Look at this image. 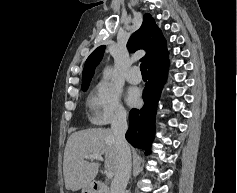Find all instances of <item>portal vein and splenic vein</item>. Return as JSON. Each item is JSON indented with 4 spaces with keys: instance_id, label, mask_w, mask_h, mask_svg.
Segmentation results:
<instances>
[{
    "instance_id": "obj_1",
    "label": "portal vein and splenic vein",
    "mask_w": 237,
    "mask_h": 193,
    "mask_svg": "<svg viewBox=\"0 0 237 193\" xmlns=\"http://www.w3.org/2000/svg\"><path fill=\"white\" fill-rule=\"evenodd\" d=\"M85 158L86 159H96V160L103 161V157L99 154L86 155ZM113 175H114V173L111 172V171L106 172V176H107L108 179L113 178Z\"/></svg>"
}]
</instances>
